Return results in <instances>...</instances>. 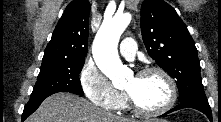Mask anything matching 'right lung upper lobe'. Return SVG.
Segmentation results:
<instances>
[{
    "mask_svg": "<svg viewBox=\"0 0 221 122\" xmlns=\"http://www.w3.org/2000/svg\"><path fill=\"white\" fill-rule=\"evenodd\" d=\"M89 14L88 0H74L66 7L45 49L43 61L85 60Z\"/></svg>",
    "mask_w": 221,
    "mask_h": 122,
    "instance_id": "cb5924a9",
    "label": "right lung upper lobe"
}]
</instances>
